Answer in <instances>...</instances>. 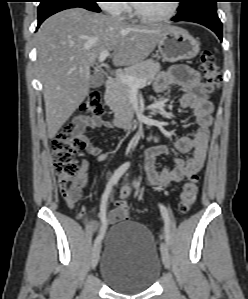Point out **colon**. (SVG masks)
Instances as JSON below:
<instances>
[{"mask_svg":"<svg viewBox=\"0 0 248 299\" xmlns=\"http://www.w3.org/2000/svg\"><path fill=\"white\" fill-rule=\"evenodd\" d=\"M200 68L203 74V84L206 92H213L221 82V74L212 51L205 50L200 56ZM81 112L94 116L104 113L101 95L98 91L89 93L81 105ZM85 147L82 136L73 134L72 127L67 126L51 141V151L54 160V171L58 177L59 187L70 207H75L81 197L83 187V168L78 161L79 152ZM199 177L193 174L184 183L180 193L178 211L188 213L196 200ZM129 207L126 202L119 206L121 219L128 218Z\"/></svg>","mask_w":248,"mask_h":299,"instance_id":"1","label":"colon"}]
</instances>
